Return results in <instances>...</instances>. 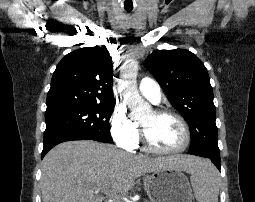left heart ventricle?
I'll use <instances>...</instances> for the list:
<instances>
[{
  "instance_id": "left-heart-ventricle-1",
  "label": "left heart ventricle",
  "mask_w": 255,
  "mask_h": 202,
  "mask_svg": "<svg viewBox=\"0 0 255 202\" xmlns=\"http://www.w3.org/2000/svg\"><path fill=\"white\" fill-rule=\"evenodd\" d=\"M152 144L164 150L180 147L184 142V132L179 121L171 116H156L153 111L141 119Z\"/></svg>"
}]
</instances>
